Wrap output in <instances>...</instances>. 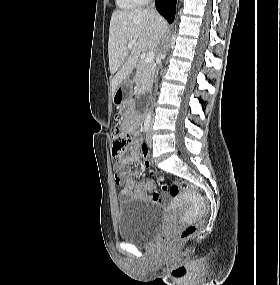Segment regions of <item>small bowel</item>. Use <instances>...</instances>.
<instances>
[{"instance_id":"small-bowel-1","label":"small bowel","mask_w":280,"mask_h":285,"mask_svg":"<svg viewBox=\"0 0 280 285\" xmlns=\"http://www.w3.org/2000/svg\"><path fill=\"white\" fill-rule=\"evenodd\" d=\"M124 128L134 137L138 138L140 135L139 127V117L133 116L131 119L124 122ZM148 150V146L141 143L136 139L129 148V154L122 157L117 164V171L115 173V183L122 186L119 193V198L121 201H126L130 198L151 201L155 204H164L166 202V197L162 196L159 192H151L154 188V183L147 180L142 183H137L136 179L129 177L124 171V167L130 163L137 161L139 150ZM145 167H149V161L144 160Z\"/></svg>"}]
</instances>
